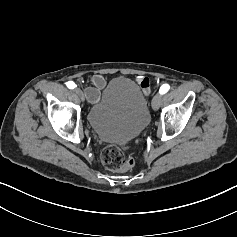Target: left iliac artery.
Instances as JSON below:
<instances>
[{"label":"left iliac artery","mask_w":237,"mask_h":237,"mask_svg":"<svg viewBox=\"0 0 237 237\" xmlns=\"http://www.w3.org/2000/svg\"><path fill=\"white\" fill-rule=\"evenodd\" d=\"M169 89H170V86L168 84H163L160 87L159 93L160 94H165Z\"/></svg>","instance_id":"44dca946"}]
</instances>
